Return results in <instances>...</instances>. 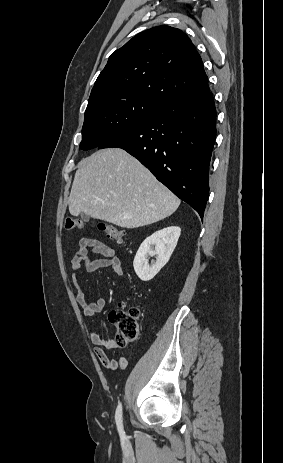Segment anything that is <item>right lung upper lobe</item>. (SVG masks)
<instances>
[{"mask_svg": "<svg viewBox=\"0 0 283 463\" xmlns=\"http://www.w3.org/2000/svg\"><path fill=\"white\" fill-rule=\"evenodd\" d=\"M208 90L201 57L189 37L179 29L158 26L111 54L89 100L125 91L162 105Z\"/></svg>", "mask_w": 283, "mask_h": 463, "instance_id": "right-lung-upper-lobe-1", "label": "right lung upper lobe"}]
</instances>
